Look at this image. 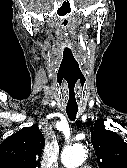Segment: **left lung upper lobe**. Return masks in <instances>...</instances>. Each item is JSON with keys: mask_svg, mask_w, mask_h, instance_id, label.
Instances as JSON below:
<instances>
[{"mask_svg": "<svg viewBox=\"0 0 127 168\" xmlns=\"http://www.w3.org/2000/svg\"><path fill=\"white\" fill-rule=\"evenodd\" d=\"M90 131L99 168H127V144L123 139L106 130L100 121L92 124Z\"/></svg>", "mask_w": 127, "mask_h": 168, "instance_id": "1", "label": "left lung upper lobe"}]
</instances>
